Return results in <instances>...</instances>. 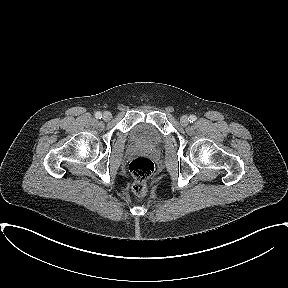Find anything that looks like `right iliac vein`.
Returning a JSON list of instances; mask_svg holds the SVG:
<instances>
[{
	"mask_svg": "<svg viewBox=\"0 0 288 288\" xmlns=\"http://www.w3.org/2000/svg\"><path fill=\"white\" fill-rule=\"evenodd\" d=\"M111 118H112V114L110 112L106 111L103 113V119L105 121H109Z\"/></svg>",
	"mask_w": 288,
	"mask_h": 288,
	"instance_id": "right-iliac-vein-1",
	"label": "right iliac vein"
}]
</instances>
